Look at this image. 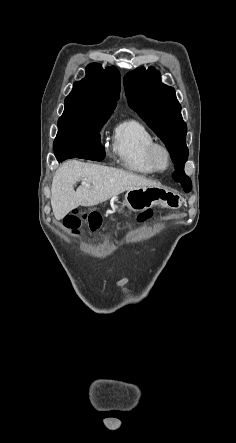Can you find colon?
I'll list each match as a JSON object with an SVG mask.
<instances>
[{
  "label": "colon",
  "mask_w": 236,
  "mask_h": 443,
  "mask_svg": "<svg viewBox=\"0 0 236 443\" xmlns=\"http://www.w3.org/2000/svg\"><path fill=\"white\" fill-rule=\"evenodd\" d=\"M153 216L152 211H145L142 212L138 217V222H145L149 220ZM64 224L73 230H77L82 222L88 223V225L96 227L100 223L99 216L91 211H82L79 208H75L72 211H70L66 216L64 217Z\"/></svg>",
  "instance_id": "obj_1"
}]
</instances>
